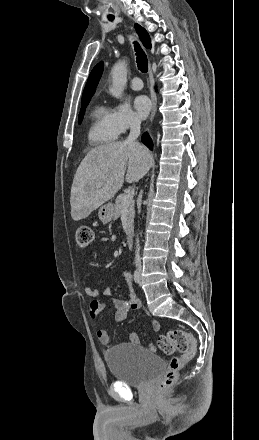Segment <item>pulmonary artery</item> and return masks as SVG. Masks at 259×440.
<instances>
[{"instance_id": "pulmonary-artery-1", "label": "pulmonary artery", "mask_w": 259, "mask_h": 440, "mask_svg": "<svg viewBox=\"0 0 259 440\" xmlns=\"http://www.w3.org/2000/svg\"><path fill=\"white\" fill-rule=\"evenodd\" d=\"M130 87L136 91L141 90L143 88L142 80L139 77L132 78Z\"/></svg>"}]
</instances>
